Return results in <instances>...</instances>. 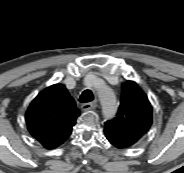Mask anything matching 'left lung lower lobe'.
Wrapping results in <instances>:
<instances>
[{"mask_svg": "<svg viewBox=\"0 0 184 173\" xmlns=\"http://www.w3.org/2000/svg\"><path fill=\"white\" fill-rule=\"evenodd\" d=\"M105 136L107 138V140L116 148L118 149H123V148H128L129 146H127L125 143H123L122 141H120L119 139H117L116 137L106 134Z\"/></svg>", "mask_w": 184, "mask_h": 173, "instance_id": "left-lung-lower-lobe-1", "label": "left lung lower lobe"}]
</instances>
